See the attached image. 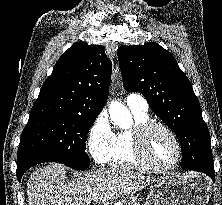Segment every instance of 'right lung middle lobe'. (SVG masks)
I'll return each instance as SVG.
<instances>
[{
    "label": "right lung middle lobe",
    "instance_id": "right-lung-middle-lobe-1",
    "mask_svg": "<svg viewBox=\"0 0 222 205\" xmlns=\"http://www.w3.org/2000/svg\"><path fill=\"white\" fill-rule=\"evenodd\" d=\"M96 117L77 113L30 116L21 134L17 161L41 157L76 170L88 168L85 142Z\"/></svg>",
    "mask_w": 222,
    "mask_h": 205
}]
</instances>
